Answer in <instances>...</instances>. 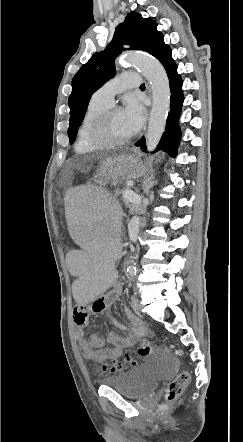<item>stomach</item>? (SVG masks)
Wrapping results in <instances>:
<instances>
[{"label":"stomach","instance_id":"obj_1","mask_svg":"<svg viewBox=\"0 0 243 442\" xmlns=\"http://www.w3.org/2000/svg\"><path fill=\"white\" fill-rule=\"evenodd\" d=\"M143 173V165L135 155H122L114 159H107L98 169L96 177H105L116 183L123 178H135Z\"/></svg>","mask_w":243,"mask_h":442}]
</instances>
